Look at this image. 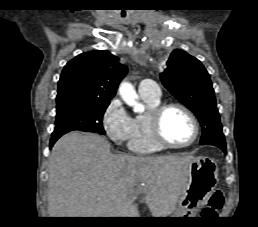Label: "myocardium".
Masks as SVG:
<instances>
[{"mask_svg": "<svg viewBox=\"0 0 258 227\" xmlns=\"http://www.w3.org/2000/svg\"><path fill=\"white\" fill-rule=\"evenodd\" d=\"M172 108H177L182 110L189 117L193 125V128H194L193 137L185 143H181V144L174 143L169 139H167L163 133V129H162L163 117L166 114V112ZM149 123H150L151 131L155 141L162 147H168V148L189 147L197 141L200 134V127L196 116L188 107L180 103L159 104L158 106H156L150 111Z\"/></svg>", "mask_w": 258, "mask_h": 227, "instance_id": "myocardium-1", "label": "myocardium"}]
</instances>
